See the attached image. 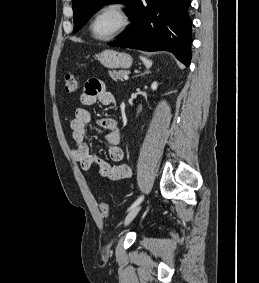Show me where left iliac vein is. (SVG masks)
I'll return each instance as SVG.
<instances>
[{
	"label": "left iliac vein",
	"instance_id": "obj_1",
	"mask_svg": "<svg viewBox=\"0 0 259 283\" xmlns=\"http://www.w3.org/2000/svg\"><path fill=\"white\" fill-rule=\"evenodd\" d=\"M140 209H141V205L139 204L135 206L134 208H132L125 217L124 225H128L137 216Z\"/></svg>",
	"mask_w": 259,
	"mask_h": 283
}]
</instances>
